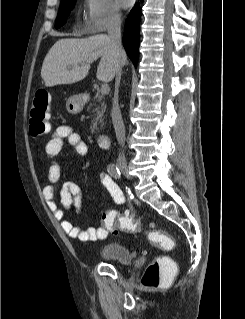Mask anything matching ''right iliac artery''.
Here are the masks:
<instances>
[{
	"label": "right iliac artery",
	"mask_w": 245,
	"mask_h": 319,
	"mask_svg": "<svg viewBox=\"0 0 245 319\" xmlns=\"http://www.w3.org/2000/svg\"><path fill=\"white\" fill-rule=\"evenodd\" d=\"M107 170H108V173L114 177L115 179H120L121 178V172L119 170V168L115 165V164H109L108 167H107ZM116 188L115 190V196H119V199H118V202H124L125 201V198L123 196V193L122 191L120 190V188L114 184V186ZM128 194H129V201L133 198V196L131 195V191L128 190Z\"/></svg>",
	"instance_id": "82829eb1"
}]
</instances>
